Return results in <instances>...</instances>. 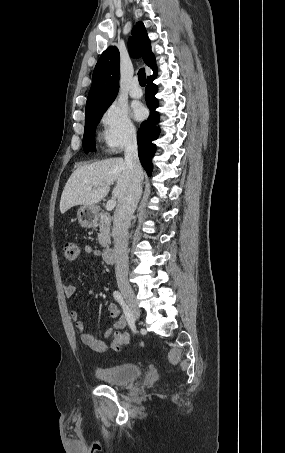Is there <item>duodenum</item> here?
<instances>
[{
    "label": "duodenum",
    "mask_w": 285,
    "mask_h": 453,
    "mask_svg": "<svg viewBox=\"0 0 285 453\" xmlns=\"http://www.w3.org/2000/svg\"><path fill=\"white\" fill-rule=\"evenodd\" d=\"M115 258V252L113 247L107 246L103 251V259L106 263H112Z\"/></svg>",
    "instance_id": "410a0bca"
}]
</instances>
